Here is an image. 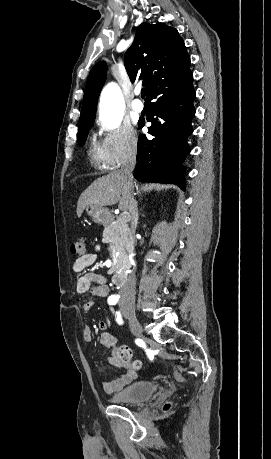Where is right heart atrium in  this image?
Segmentation results:
<instances>
[{"mask_svg": "<svg viewBox=\"0 0 271 459\" xmlns=\"http://www.w3.org/2000/svg\"><path fill=\"white\" fill-rule=\"evenodd\" d=\"M101 164L115 169L133 156L138 148V138L134 128L129 125L117 126L106 132L100 130L95 135Z\"/></svg>", "mask_w": 271, "mask_h": 459, "instance_id": "d8ad5b80", "label": "right heart atrium"}]
</instances>
